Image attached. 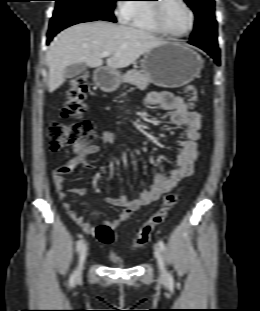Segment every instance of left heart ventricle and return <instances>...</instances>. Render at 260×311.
<instances>
[{
	"mask_svg": "<svg viewBox=\"0 0 260 311\" xmlns=\"http://www.w3.org/2000/svg\"><path fill=\"white\" fill-rule=\"evenodd\" d=\"M162 17L165 27L173 33H183L190 25V15L179 0H165Z\"/></svg>",
	"mask_w": 260,
	"mask_h": 311,
	"instance_id": "1",
	"label": "left heart ventricle"
}]
</instances>
